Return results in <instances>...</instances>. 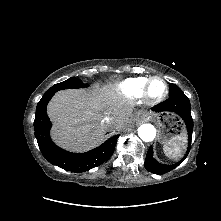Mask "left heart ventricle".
Here are the masks:
<instances>
[{
	"label": "left heart ventricle",
	"mask_w": 221,
	"mask_h": 221,
	"mask_svg": "<svg viewBox=\"0 0 221 221\" xmlns=\"http://www.w3.org/2000/svg\"><path fill=\"white\" fill-rule=\"evenodd\" d=\"M164 92V85L161 81L156 80L152 83L150 93L152 96H160Z\"/></svg>",
	"instance_id": "obj_1"
}]
</instances>
